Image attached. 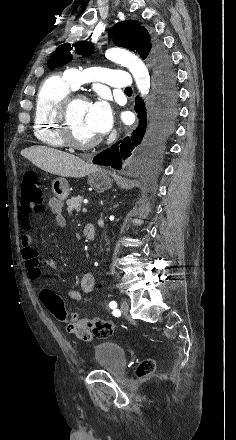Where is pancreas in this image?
<instances>
[{
    "label": "pancreas",
    "mask_w": 236,
    "mask_h": 440,
    "mask_svg": "<svg viewBox=\"0 0 236 440\" xmlns=\"http://www.w3.org/2000/svg\"><path fill=\"white\" fill-rule=\"evenodd\" d=\"M82 202H83L82 196L72 197L71 199H68L66 201L68 214H71L74 209L76 211H79L81 208Z\"/></svg>",
    "instance_id": "obj_1"
}]
</instances>
